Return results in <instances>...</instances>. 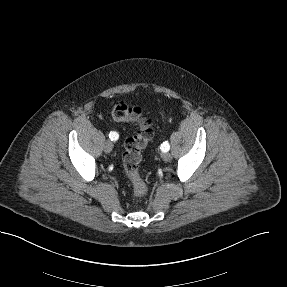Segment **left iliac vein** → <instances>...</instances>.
I'll return each instance as SVG.
<instances>
[{
  "label": "left iliac vein",
  "mask_w": 287,
  "mask_h": 287,
  "mask_svg": "<svg viewBox=\"0 0 287 287\" xmlns=\"http://www.w3.org/2000/svg\"><path fill=\"white\" fill-rule=\"evenodd\" d=\"M162 159L164 161H170L172 159V155L169 152L162 153Z\"/></svg>",
  "instance_id": "obj_1"
}]
</instances>
